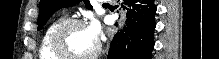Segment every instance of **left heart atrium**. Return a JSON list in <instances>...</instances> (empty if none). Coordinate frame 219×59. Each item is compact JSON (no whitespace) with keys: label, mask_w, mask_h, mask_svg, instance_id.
<instances>
[{"label":"left heart atrium","mask_w":219,"mask_h":59,"mask_svg":"<svg viewBox=\"0 0 219 59\" xmlns=\"http://www.w3.org/2000/svg\"><path fill=\"white\" fill-rule=\"evenodd\" d=\"M87 33L89 36L97 41L99 37L100 28L98 24L95 21H92L87 27H86Z\"/></svg>","instance_id":"left-heart-atrium-1"}]
</instances>
